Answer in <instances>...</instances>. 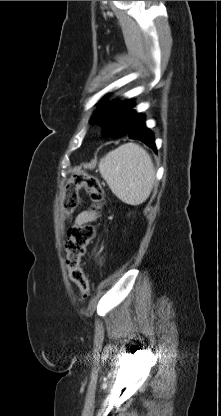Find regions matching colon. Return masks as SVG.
<instances>
[{"label":"colon","instance_id":"colon-1","mask_svg":"<svg viewBox=\"0 0 221 416\" xmlns=\"http://www.w3.org/2000/svg\"><path fill=\"white\" fill-rule=\"evenodd\" d=\"M81 187L86 188L92 203V209L96 212L100 211L105 194L99 180L91 175L78 174L65 187L62 200V208L65 215L69 216L76 210L78 205V190ZM95 234L96 229L92 224L73 226L68 231L64 245L68 275L70 280L77 285L82 300L88 297L90 286L81 265V260L85 256L87 248L94 239Z\"/></svg>","mask_w":221,"mask_h":416}]
</instances>
